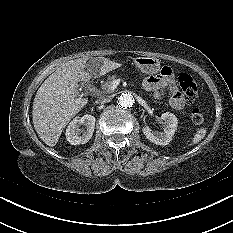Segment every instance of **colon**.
<instances>
[{"mask_svg":"<svg viewBox=\"0 0 233 233\" xmlns=\"http://www.w3.org/2000/svg\"><path fill=\"white\" fill-rule=\"evenodd\" d=\"M178 81L183 91L185 99L189 103H195L198 100V89L195 79L188 73L180 72ZM191 119L195 124H201L204 121V114L200 108H193Z\"/></svg>","mask_w":233,"mask_h":233,"instance_id":"colon-1","label":"colon"}]
</instances>
